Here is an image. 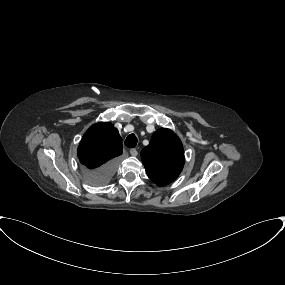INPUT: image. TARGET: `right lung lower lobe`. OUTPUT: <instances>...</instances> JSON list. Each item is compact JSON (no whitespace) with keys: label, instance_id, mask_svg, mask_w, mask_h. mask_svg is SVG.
I'll list each match as a JSON object with an SVG mask.
<instances>
[{"label":"right lung lower lobe","instance_id":"right-lung-lower-lobe-1","mask_svg":"<svg viewBox=\"0 0 285 285\" xmlns=\"http://www.w3.org/2000/svg\"><path fill=\"white\" fill-rule=\"evenodd\" d=\"M117 165V160H111L103 166L86 171V180L94 186L106 184L112 177Z\"/></svg>","mask_w":285,"mask_h":285}]
</instances>
